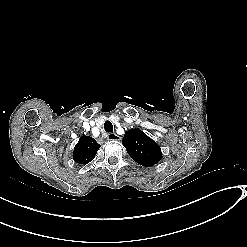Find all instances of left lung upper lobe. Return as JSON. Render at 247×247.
<instances>
[{
    "label": "left lung upper lobe",
    "instance_id": "obj_1",
    "mask_svg": "<svg viewBox=\"0 0 247 247\" xmlns=\"http://www.w3.org/2000/svg\"><path fill=\"white\" fill-rule=\"evenodd\" d=\"M122 144L130 157L145 167L155 165L162 157L159 145L139 129L126 132Z\"/></svg>",
    "mask_w": 247,
    "mask_h": 247
}]
</instances>
